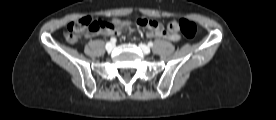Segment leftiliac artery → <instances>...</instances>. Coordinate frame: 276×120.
I'll use <instances>...</instances> for the list:
<instances>
[{
	"label": "left iliac artery",
	"instance_id": "left-iliac-artery-1",
	"mask_svg": "<svg viewBox=\"0 0 276 120\" xmlns=\"http://www.w3.org/2000/svg\"><path fill=\"white\" fill-rule=\"evenodd\" d=\"M148 46H149V47H152V46H153V43H152V42H148Z\"/></svg>",
	"mask_w": 276,
	"mask_h": 120
}]
</instances>
